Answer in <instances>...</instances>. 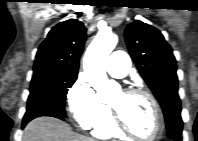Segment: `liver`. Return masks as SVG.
I'll list each match as a JSON object with an SVG mask.
<instances>
[{"mask_svg":"<svg viewBox=\"0 0 198 141\" xmlns=\"http://www.w3.org/2000/svg\"><path fill=\"white\" fill-rule=\"evenodd\" d=\"M23 141H92L75 133L65 122L53 117H39L24 129Z\"/></svg>","mask_w":198,"mask_h":141,"instance_id":"6515ba94","label":"liver"}]
</instances>
